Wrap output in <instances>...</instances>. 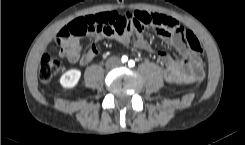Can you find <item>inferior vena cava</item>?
Masks as SVG:
<instances>
[{"mask_svg":"<svg viewBox=\"0 0 245 145\" xmlns=\"http://www.w3.org/2000/svg\"><path fill=\"white\" fill-rule=\"evenodd\" d=\"M119 63V59L117 57H111L107 60V66L112 67Z\"/></svg>","mask_w":245,"mask_h":145,"instance_id":"602c4592","label":"inferior vena cava"}]
</instances>
